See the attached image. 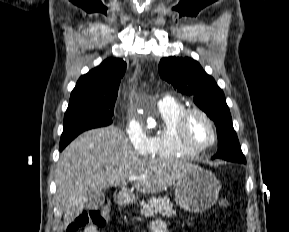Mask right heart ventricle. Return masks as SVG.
Returning <instances> with one entry per match:
<instances>
[{
	"mask_svg": "<svg viewBox=\"0 0 289 232\" xmlns=\"http://www.w3.org/2000/svg\"><path fill=\"white\" fill-rule=\"evenodd\" d=\"M185 106L174 100L158 105L157 111L163 121V127L150 137V154L160 158H178L193 156V152L184 147L176 134V123Z\"/></svg>",
	"mask_w": 289,
	"mask_h": 232,
	"instance_id": "e07e8e85",
	"label": "right heart ventricle"
}]
</instances>
